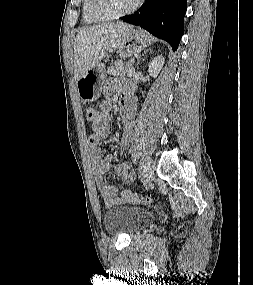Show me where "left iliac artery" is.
Masks as SVG:
<instances>
[{
    "label": "left iliac artery",
    "instance_id": "1",
    "mask_svg": "<svg viewBox=\"0 0 253 285\" xmlns=\"http://www.w3.org/2000/svg\"><path fill=\"white\" fill-rule=\"evenodd\" d=\"M147 159H148V156L147 154L145 153L142 157V166L141 168L145 167L146 163H147Z\"/></svg>",
    "mask_w": 253,
    "mask_h": 285
}]
</instances>
